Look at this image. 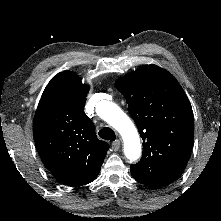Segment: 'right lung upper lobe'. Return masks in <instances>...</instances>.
<instances>
[{
	"mask_svg": "<svg viewBox=\"0 0 221 221\" xmlns=\"http://www.w3.org/2000/svg\"><path fill=\"white\" fill-rule=\"evenodd\" d=\"M88 91L74 72H60L46 86L34 116L38 153L53 176L68 186L92 182L109 149L83 111Z\"/></svg>",
	"mask_w": 221,
	"mask_h": 221,
	"instance_id": "1",
	"label": "right lung upper lobe"
}]
</instances>
